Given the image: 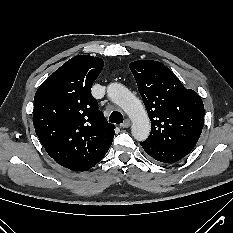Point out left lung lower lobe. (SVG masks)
<instances>
[{"label":"left lung lower lobe","instance_id":"1","mask_svg":"<svg viewBox=\"0 0 233 233\" xmlns=\"http://www.w3.org/2000/svg\"><path fill=\"white\" fill-rule=\"evenodd\" d=\"M141 146L148 155L162 163H174L188 155L187 152L161 146L147 140L141 142Z\"/></svg>","mask_w":233,"mask_h":233}]
</instances>
